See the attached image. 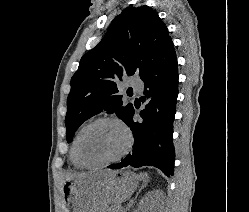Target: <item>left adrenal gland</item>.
<instances>
[{
    "label": "left adrenal gland",
    "instance_id": "left-adrenal-gland-1",
    "mask_svg": "<svg viewBox=\"0 0 249 212\" xmlns=\"http://www.w3.org/2000/svg\"><path fill=\"white\" fill-rule=\"evenodd\" d=\"M143 186H144V188H145V184H143ZM141 190H143V188H140L139 192H141ZM131 208H132V206H131Z\"/></svg>",
    "mask_w": 249,
    "mask_h": 212
}]
</instances>
